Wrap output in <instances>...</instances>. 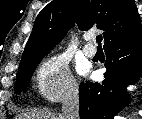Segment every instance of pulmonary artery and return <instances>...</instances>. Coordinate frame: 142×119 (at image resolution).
Wrapping results in <instances>:
<instances>
[{"label":"pulmonary artery","mask_w":142,"mask_h":119,"mask_svg":"<svg viewBox=\"0 0 142 119\" xmlns=\"http://www.w3.org/2000/svg\"><path fill=\"white\" fill-rule=\"evenodd\" d=\"M92 39V36L91 35H87L86 37H85V40L86 41H90ZM83 52H84V54L86 55V56H88V57H93L95 54H96V48L93 46V45H91V44H85L84 46H83Z\"/></svg>","instance_id":"pulmonary-artery-1"}]
</instances>
